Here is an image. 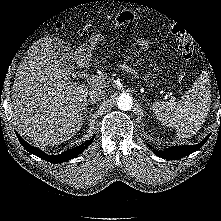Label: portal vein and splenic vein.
Listing matches in <instances>:
<instances>
[{"mask_svg": "<svg viewBox=\"0 0 221 221\" xmlns=\"http://www.w3.org/2000/svg\"><path fill=\"white\" fill-rule=\"evenodd\" d=\"M121 67L124 68L127 72L131 73L137 79H139L138 73L135 70L125 65H121ZM105 79L106 77L101 75H91L86 77V81L91 84H101L102 82H104Z\"/></svg>", "mask_w": 221, "mask_h": 221, "instance_id": "portal-vein-and-splenic-vein-1", "label": "portal vein and splenic vein"}]
</instances>
